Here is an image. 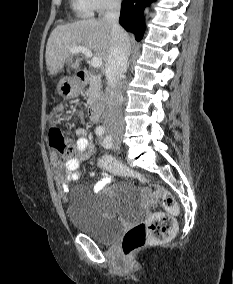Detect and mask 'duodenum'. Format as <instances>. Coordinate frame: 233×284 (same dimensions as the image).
Segmentation results:
<instances>
[{"label": "duodenum", "instance_id": "duodenum-1", "mask_svg": "<svg viewBox=\"0 0 233 284\" xmlns=\"http://www.w3.org/2000/svg\"><path fill=\"white\" fill-rule=\"evenodd\" d=\"M77 78L80 83L85 84L89 79V75L85 70H79ZM95 82L99 84L101 79L95 78ZM88 116L93 123L100 124L103 118L102 104L99 102L93 103L88 109Z\"/></svg>", "mask_w": 233, "mask_h": 284}]
</instances>
